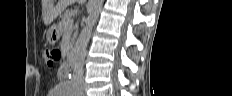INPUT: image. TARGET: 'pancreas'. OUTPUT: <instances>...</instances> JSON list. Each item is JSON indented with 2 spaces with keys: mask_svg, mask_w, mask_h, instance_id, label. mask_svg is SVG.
<instances>
[{
  "mask_svg": "<svg viewBox=\"0 0 232 96\" xmlns=\"http://www.w3.org/2000/svg\"><path fill=\"white\" fill-rule=\"evenodd\" d=\"M59 29L61 34L66 33H72L74 27H73V20H72V14L70 10H66L65 13L61 17V22L59 24ZM77 36V31L72 35L71 37V43H74Z\"/></svg>",
  "mask_w": 232,
  "mask_h": 96,
  "instance_id": "obj_1",
  "label": "pancreas"
}]
</instances>
